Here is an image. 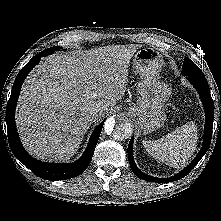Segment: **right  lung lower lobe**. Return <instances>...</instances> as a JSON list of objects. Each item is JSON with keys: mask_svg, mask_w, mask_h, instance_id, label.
Returning <instances> with one entry per match:
<instances>
[{"mask_svg": "<svg viewBox=\"0 0 221 221\" xmlns=\"http://www.w3.org/2000/svg\"><path fill=\"white\" fill-rule=\"evenodd\" d=\"M46 56L45 53H39L34 56L18 73L15 82L12 87L11 96L7 103L6 108V124H7V133H8V142L9 146L15 155V157L23 163L27 168H29L35 175L42 179L46 180H64L76 177L83 173L88 167L93 154L95 147L97 145L100 133L104 124V121L101 122L93 131L90 141L87 145V148L81 158L71 164H55V163H45L36 160L31 157L25 149L22 147V144L19 140L15 125V108L17 99L21 86L24 82V79L32 68L39 63L41 57Z\"/></svg>", "mask_w": 221, "mask_h": 221, "instance_id": "right-lung-lower-lobe-1", "label": "right lung lower lobe"}]
</instances>
